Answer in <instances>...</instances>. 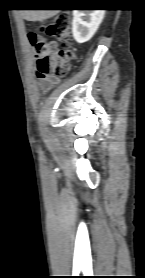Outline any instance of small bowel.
<instances>
[{
  "label": "small bowel",
  "instance_id": "small-bowel-1",
  "mask_svg": "<svg viewBox=\"0 0 145 278\" xmlns=\"http://www.w3.org/2000/svg\"><path fill=\"white\" fill-rule=\"evenodd\" d=\"M41 40H45L43 38H39ZM55 44V43H54ZM57 83V81H53L51 78L49 77H46V78H43L41 79V86H42V89L44 91H48L50 90L55 84Z\"/></svg>",
  "mask_w": 145,
  "mask_h": 278
}]
</instances>
